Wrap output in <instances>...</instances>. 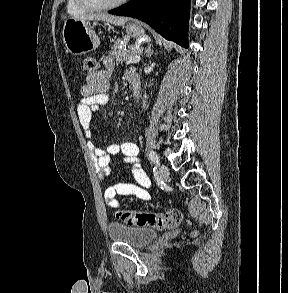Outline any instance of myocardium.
Segmentation results:
<instances>
[{
  "label": "myocardium",
  "instance_id": "f54148a6",
  "mask_svg": "<svg viewBox=\"0 0 288 293\" xmlns=\"http://www.w3.org/2000/svg\"><path fill=\"white\" fill-rule=\"evenodd\" d=\"M127 0H117L111 3H100L93 0H77L80 6L87 10H109L121 6Z\"/></svg>",
  "mask_w": 288,
  "mask_h": 293
}]
</instances>
